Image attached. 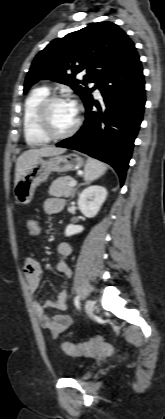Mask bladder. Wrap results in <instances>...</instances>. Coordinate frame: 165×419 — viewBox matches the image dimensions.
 Wrapping results in <instances>:
<instances>
[{
  "label": "bladder",
  "instance_id": "obj_1",
  "mask_svg": "<svg viewBox=\"0 0 165 419\" xmlns=\"http://www.w3.org/2000/svg\"><path fill=\"white\" fill-rule=\"evenodd\" d=\"M93 376V372L90 370H86L81 374V379L87 380L90 379Z\"/></svg>",
  "mask_w": 165,
  "mask_h": 419
}]
</instances>
